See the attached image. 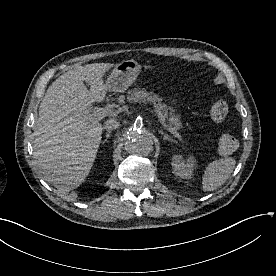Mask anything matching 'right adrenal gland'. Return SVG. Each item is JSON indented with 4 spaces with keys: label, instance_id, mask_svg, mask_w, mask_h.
<instances>
[{
    "label": "right adrenal gland",
    "instance_id": "obj_1",
    "mask_svg": "<svg viewBox=\"0 0 276 276\" xmlns=\"http://www.w3.org/2000/svg\"><path fill=\"white\" fill-rule=\"evenodd\" d=\"M110 133H111V131H108V132L105 134V139H104V141H102V144H104L106 141H108V138L110 137Z\"/></svg>",
    "mask_w": 276,
    "mask_h": 276
}]
</instances>
